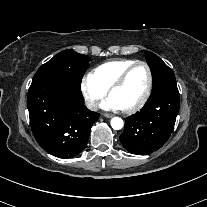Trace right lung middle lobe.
Instances as JSON below:
<instances>
[{
	"instance_id": "obj_1",
	"label": "right lung middle lobe",
	"mask_w": 207,
	"mask_h": 207,
	"mask_svg": "<svg viewBox=\"0 0 207 207\" xmlns=\"http://www.w3.org/2000/svg\"><path fill=\"white\" fill-rule=\"evenodd\" d=\"M90 58L74 52L64 50L43 64L32 79V83L52 80L66 83L77 90H81L83 74L89 67Z\"/></svg>"
}]
</instances>
